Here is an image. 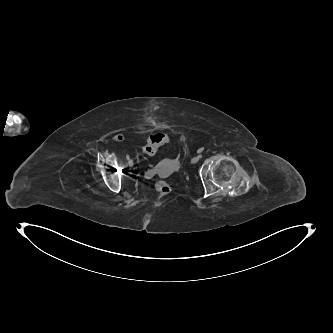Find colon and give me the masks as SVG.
<instances>
[{
  "label": "colon",
  "instance_id": "1",
  "mask_svg": "<svg viewBox=\"0 0 333 333\" xmlns=\"http://www.w3.org/2000/svg\"><path fill=\"white\" fill-rule=\"evenodd\" d=\"M170 142V137L163 132H156L151 134L149 137L143 152L147 156H153L157 150L163 146L164 144H167ZM155 190L157 192L158 198L162 199L168 196L171 193V187L170 185L165 181H158L155 185Z\"/></svg>",
  "mask_w": 333,
  "mask_h": 333
}]
</instances>
